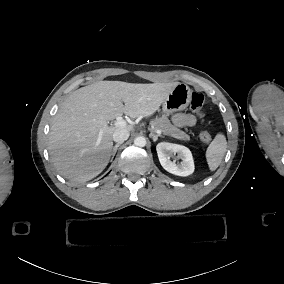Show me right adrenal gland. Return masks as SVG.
Segmentation results:
<instances>
[{
	"instance_id": "right-adrenal-gland-1",
	"label": "right adrenal gland",
	"mask_w": 284,
	"mask_h": 284,
	"mask_svg": "<svg viewBox=\"0 0 284 284\" xmlns=\"http://www.w3.org/2000/svg\"><path fill=\"white\" fill-rule=\"evenodd\" d=\"M121 144H122V143H117V144L113 147L112 152H111V155H112L111 161H113L114 156H115V154H116V152H117V149H118V147H119Z\"/></svg>"
}]
</instances>
